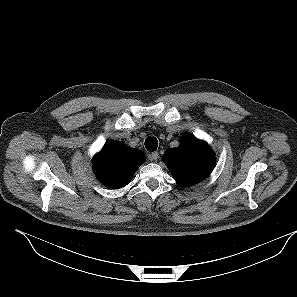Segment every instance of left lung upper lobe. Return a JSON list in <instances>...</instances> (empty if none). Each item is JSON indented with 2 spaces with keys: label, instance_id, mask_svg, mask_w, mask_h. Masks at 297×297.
I'll return each instance as SVG.
<instances>
[{
  "label": "left lung upper lobe",
  "instance_id": "left-lung-upper-lobe-1",
  "mask_svg": "<svg viewBox=\"0 0 297 297\" xmlns=\"http://www.w3.org/2000/svg\"><path fill=\"white\" fill-rule=\"evenodd\" d=\"M163 161L177 183L182 187H189L210 175L216 158L206 142L186 135L178 147L169 148L163 154Z\"/></svg>",
  "mask_w": 297,
  "mask_h": 297
}]
</instances>
